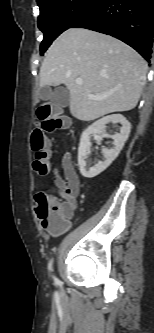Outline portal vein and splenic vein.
Returning a JSON list of instances; mask_svg holds the SVG:
<instances>
[{
  "label": "portal vein and splenic vein",
  "instance_id": "portal-vein-and-splenic-vein-1",
  "mask_svg": "<svg viewBox=\"0 0 154 333\" xmlns=\"http://www.w3.org/2000/svg\"><path fill=\"white\" fill-rule=\"evenodd\" d=\"M76 83L78 85H81L83 83V81H82L81 78H78V79H76ZM87 96L91 99H94V100H101L105 97V96H96V95H93V94H90V93H88Z\"/></svg>",
  "mask_w": 154,
  "mask_h": 333
}]
</instances>
